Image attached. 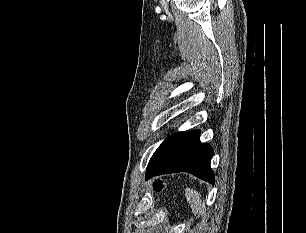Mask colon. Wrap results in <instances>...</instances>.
I'll list each match as a JSON object with an SVG mask.
<instances>
[{
    "mask_svg": "<svg viewBox=\"0 0 306 233\" xmlns=\"http://www.w3.org/2000/svg\"><path fill=\"white\" fill-rule=\"evenodd\" d=\"M152 187L156 192H161L163 189V183L161 181H154Z\"/></svg>",
    "mask_w": 306,
    "mask_h": 233,
    "instance_id": "5ec220e1",
    "label": "colon"
}]
</instances>
